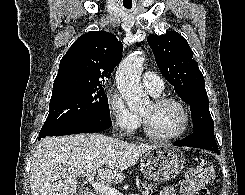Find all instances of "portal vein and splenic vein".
<instances>
[{
	"label": "portal vein and splenic vein",
	"mask_w": 245,
	"mask_h": 195,
	"mask_svg": "<svg viewBox=\"0 0 245 195\" xmlns=\"http://www.w3.org/2000/svg\"><path fill=\"white\" fill-rule=\"evenodd\" d=\"M87 182H89L92 187L98 191L101 195H123L114 188L105 185L104 183L94 181V173L87 175ZM130 195H139V194H130Z\"/></svg>",
	"instance_id": "1"
}]
</instances>
